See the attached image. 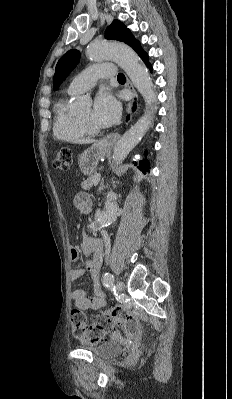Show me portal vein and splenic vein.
Wrapping results in <instances>:
<instances>
[{"label": "portal vein and splenic vein", "mask_w": 232, "mask_h": 399, "mask_svg": "<svg viewBox=\"0 0 232 399\" xmlns=\"http://www.w3.org/2000/svg\"><path fill=\"white\" fill-rule=\"evenodd\" d=\"M100 178H101V174H96L94 182H96V184H98Z\"/></svg>", "instance_id": "portal-vein-and-splenic-vein-1"}]
</instances>
